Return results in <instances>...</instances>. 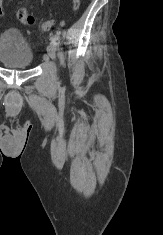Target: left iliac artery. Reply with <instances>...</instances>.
Here are the masks:
<instances>
[{
  "label": "left iliac artery",
  "instance_id": "44dca946",
  "mask_svg": "<svg viewBox=\"0 0 163 235\" xmlns=\"http://www.w3.org/2000/svg\"><path fill=\"white\" fill-rule=\"evenodd\" d=\"M51 43H52V44H54L55 46H57V45H58V43H57V41H56V39H55V38H52Z\"/></svg>",
  "mask_w": 163,
  "mask_h": 235
}]
</instances>
